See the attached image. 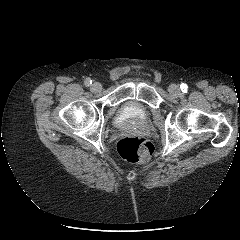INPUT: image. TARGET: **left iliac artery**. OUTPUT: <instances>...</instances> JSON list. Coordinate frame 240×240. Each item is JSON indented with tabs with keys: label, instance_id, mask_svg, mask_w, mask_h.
<instances>
[{
	"label": "left iliac artery",
	"instance_id": "44dca946",
	"mask_svg": "<svg viewBox=\"0 0 240 240\" xmlns=\"http://www.w3.org/2000/svg\"><path fill=\"white\" fill-rule=\"evenodd\" d=\"M180 88H181L182 92H186L187 91V85L184 84V83L181 84Z\"/></svg>",
	"mask_w": 240,
	"mask_h": 240
}]
</instances>
